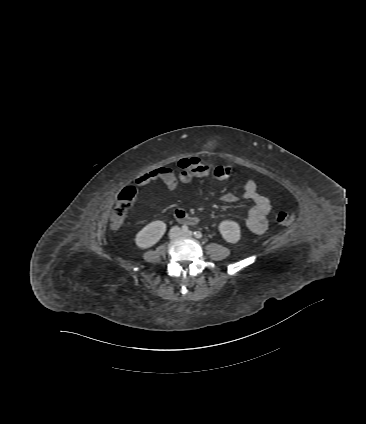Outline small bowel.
<instances>
[{"label":"small bowel","mask_w":366,"mask_h":424,"mask_svg":"<svg viewBox=\"0 0 366 424\" xmlns=\"http://www.w3.org/2000/svg\"><path fill=\"white\" fill-rule=\"evenodd\" d=\"M157 179H161L170 190H175L177 188V180L174 174L170 169L165 167L155 169L139 176L136 179V184L146 185ZM242 198L253 203V206L248 212L246 227L252 233H264L268 227L267 217L271 210L269 199L258 193L256 182L251 178L247 179L244 184ZM221 200L226 204H233L238 202L239 199L234 194L228 193L223 195Z\"/></svg>","instance_id":"obj_1"}]
</instances>
